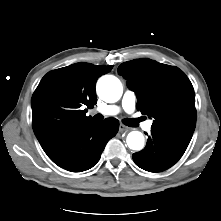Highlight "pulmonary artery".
I'll use <instances>...</instances> for the list:
<instances>
[{"label": "pulmonary artery", "mask_w": 221, "mask_h": 221, "mask_svg": "<svg viewBox=\"0 0 221 221\" xmlns=\"http://www.w3.org/2000/svg\"><path fill=\"white\" fill-rule=\"evenodd\" d=\"M135 103H136L135 92L127 89L123 95V98H122L123 109L126 112L131 113L135 108ZM97 112H99L103 115H115L119 112V107H117L115 105H107V106L97 109ZM151 127H152L151 121L144 124V129L146 131H149L151 129Z\"/></svg>", "instance_id": "obj_1"}]
</instances>
